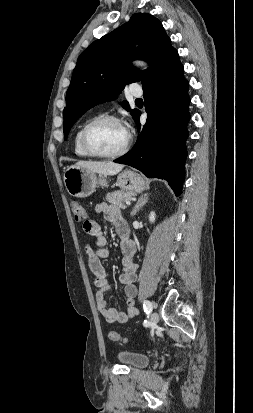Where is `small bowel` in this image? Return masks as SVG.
<instances>
[{"label":"small bowel","mask_w":253,"mask_h":413,"mask_svg":"<svg viewBox=\"0 0 253 413\" xmlns=\"http://www.w3.org/2000/svg\"><path fill=\"white\" fill-rule=\"evenodd\" d=\"M95 211L116 227L117 233L121 238V265L123 270L119 281L123 285L126 296V308L124 310L107 307V294L111 287L101 259L109 256L110 249L100 225L95 220L86 219L83 222V230L86 234L95 238L97 246L96 248L90 244L85 246L87 264L94 276V284L98 288L95 294L96 307L108 323H125L138 314V310L135 307V297L137 296L135 282L138 269V265L133 259L135 245L129 238V228L119 208L100 202L96 205Z\"/></svg>","instance_id":"small-bowel-1"}]
</instances>
